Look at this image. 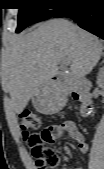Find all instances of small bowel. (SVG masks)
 I'll return each instance as SVG.
<instances>
[{"label":"small bowel","instance_id":"obj_1","mask_svg":"<svg viewBox=\"0 0 104 169\" xmlns=\"http://www.w3.org/2000/svg\"><path fill=\"white\" fill-rule=\"evenodd\" d=\"M60 125L63 129V132L68 133L69 136L76 142L78 150L81 153L88 152L89 146L85 139V136L78 130L76 124L73 121H64ZM54 140H50L49 142H53ZM78 169H83V168H78Z\"/></svg>","mask_w":104,"mask_h":169}]
</instances>
